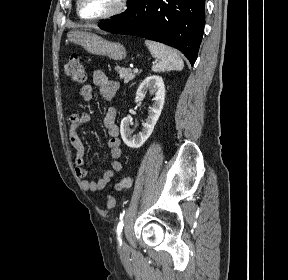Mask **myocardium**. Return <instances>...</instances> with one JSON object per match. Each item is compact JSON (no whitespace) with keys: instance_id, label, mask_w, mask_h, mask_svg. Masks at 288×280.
I'll use <instances>...</instances> for the list:
<instances>
[{"instance_id":"obj_1","label":"myocardium","mask_w":288,"mask_h":280,"mask_svg":"<svg viewBox=\"0 0 288 280\" xmlns=\"http://www.w3.org/2000/svg\"><path fill=\"white\" fill-rule=\"evenodd\" d=\"M81 2L82 0L76 1V13L78 17L81 20L86 21V22H99V21L107 20V19H110V18H113L122 14L127 9L129 0H119L117 5L112 10L102 15L91 17V18L85 17L81 14Z\"/></svg>"}]
</instances>
